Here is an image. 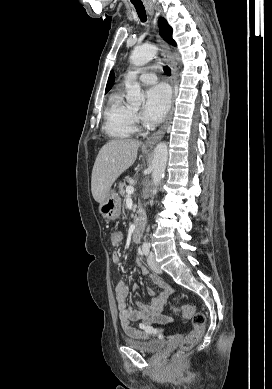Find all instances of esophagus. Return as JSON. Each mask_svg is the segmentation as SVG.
Listing matches in <instances>:
<instances>
[{
    "label": "esophagus",
    "instance_id": "34e87169",
    "mask_svg": "<svg viewBox=\"0 0 272 389\" xmlns=\"http://www.w3.org/2000/svg\"><path fill=\"white\" fill-rule=\"evenodd\" d=\"M148 11H149V13L151 15L153 14V10L151 8H148ZM158 40H159L160 45H161L162 57L169 64V66L171 68V79H170V82H171V86H172V89H173L172 106H171L170 112L168 114V117H167L166 122L164 123V125L156 133H154L153 135L148 137L147 140L145 141L144 147H147V148H152L154 146V144L165 134V132H166L168 126H169V123H170V121L172 119L173 108H174V99H175V95H176V89H175V85H176V68H175L174 61L172 60V58L170 56V47H169V45L165 41H163L160 38L159 35H158Z\"/></svg>",
    "mask_w": 272,
    "mask_h": 389
}]
</instances>
